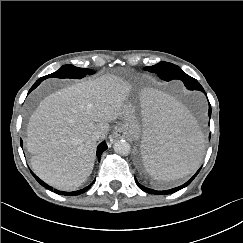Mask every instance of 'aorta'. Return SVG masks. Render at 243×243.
I'll use <instances>...</instances> for the list:
<instances>
[{
  "label": "aorta",
  "mask_w": 243,
  "mask_h": 243,
  "mask_svg": "<svg viewBox=\"0 0 243 243\" xmlns=\"http://www.w3.org/2000/svg\"><path fill=\"white\" fill-rule=\"evenodd\" d=\"M113 149L116 153L126 156L130 153L131 146L127 141L119 140L114 143Z\"/></svg>",
  "instance_id": "obj_1"
}]
</instances>
